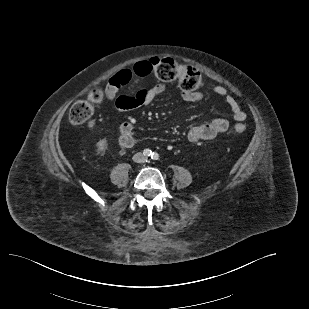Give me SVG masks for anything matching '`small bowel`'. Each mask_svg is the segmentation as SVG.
I'll return each mask as SVG.
<instances>
[{
    "label": "small bowel",
    "instance_id": "c3829d8e",
    "mask_svg": "<svg viewBox=\"0 0 309 309\" xmlns=\"http://www.w3.org/2000/svg\"><path fill=\"white\" fill-rule=\"evenodd\" d=\"M149 61H142L134 64L132 67L122 69L110 77L105 94L109 100L116 99V107L120 111H127L139 106L150 105L153 100L162 95L166 86L163 83H157L147 89H140L134 95L118 96L119 90L128 84L135 77H145L152 73ZM213 91L219 97H222L229 106L233 119L242 123L246 119V114L240 107L237 100L223 86H215ZM182 97L185 101L195 103L202 99V93L198 91L183 92ZM229 128V120L225 118H214L206 123L193 126L188 131V139L191 142L202 140H212L218 135L226 132ZM119 142L123 148H130L135 144V135L131 122L121 124Z\"/></svg>",
    "mask_w": 309,
    "mask_h": 309
}]
</instances>
